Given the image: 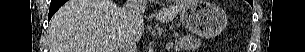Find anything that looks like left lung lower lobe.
Segmentation results:
<instances>
[{"mask_svg":"<svg viewBox=\"0 0 305 52\" xmlns=\"http://www.w3.org/2000/svg\"><path fill=\"white\" fill-rule=\"evenodd\" d=\"M248 2H249L251 5H253V2H252L251 0H248Z\"/></svg>","mask_w":305,"mask_h":52,"instance_id":"0a47b994","label":"left lung lower lobe"}]
</instances>
